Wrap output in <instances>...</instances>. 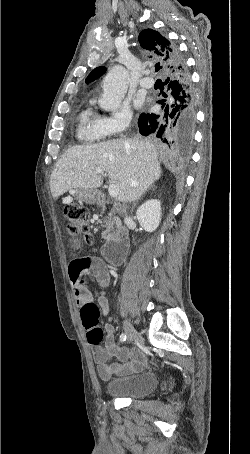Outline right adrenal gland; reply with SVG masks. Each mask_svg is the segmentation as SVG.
I'll return each mask as SVG.
<instances>
[{
  "mask_svg": "<svg viewBox=\"0 0 250 454\" xmlns=\"http://www.w3.org/2000/svg\"><path fill=\"white\" fill-rule=\"evenodd\" d=\"M148 190H154V187L151 185L148 189H146L144 191V193L136 200V202L133 204V207H132V211H133V208L135 207L136 203L138 202V200L141 199V197L148 191Z\"/></svg>",
  "mask_w": 250,
  "mask_h": 454,
  "instance_id": "2a0ac1e0",
  "label": "right adrenal gland"
}]
</instances>
